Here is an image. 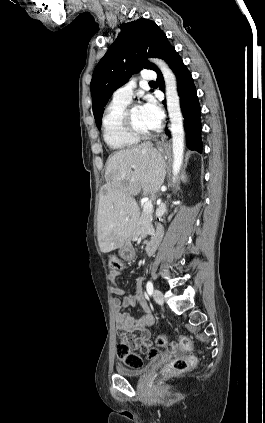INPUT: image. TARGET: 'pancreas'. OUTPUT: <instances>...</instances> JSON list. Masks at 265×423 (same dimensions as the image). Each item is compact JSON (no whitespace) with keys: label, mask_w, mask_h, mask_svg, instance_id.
I'll return each instance as SVG.
<instances>
[{"label":"pancreas","mask_w":265,"mask_h":423,"mask_svg":"<svg viewBox=\"0 0 265 423\" xmlns=\"http://www.w3.org/2000/svg\"><path fill=\"white\" fill-rule=\"evenodd\" d=\"M152 229V213H147L142 210L137 226L134 230V238L139 239L149 234Z\"/></svg>","instance_id":"1"}]
</instances>
